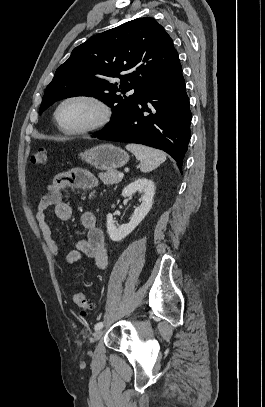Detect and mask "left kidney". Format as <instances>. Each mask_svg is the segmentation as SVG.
<instances>
[{
	"instance_id": "5707ae66",
	"label": "left kidney",
	"mask_w": 265,
	"mask_h": 407,
	"mask_svg": "<svg viewBox=\"0 0 265 407\" xmlns=\"http://www.w3.org/2000/svg\"><path fill=\"white\" fill-rule=\"evenodd\" d=\"M137 191L143 194L142 202L141 205L135 209L134 215L128 224L116 226L113 221V215L110 213L107 215V233L112 241L117 242L124 239L149 213L155 194L154 183L149 179L139 178L123 189L122 196L129 197ZM112 207L114 208V205Z\"/></svg>"
}]
</instances>
